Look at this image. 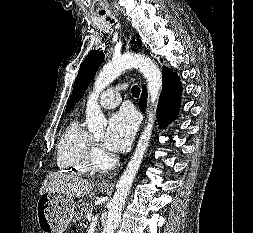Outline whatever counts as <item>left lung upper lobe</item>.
Returning <instances> with one entry per match:
<instances>
[{
    "label": "left lung upper lobe",
    "mask_w": 253,
    "mask_h": 233,
    "mask_svg": "<svg viewBox=\"0 0 253 233\" xmlns=\"http://www.w3.org/2000/svg\"><path fill=\"white\" fill-rule=\"evenodd\" d=\"M137 38L139 35L136 34ZM132 44L134 41L131 42ZM137 45L142 46L141 40H137ZM104 59V53L96 50L90 51L82 62L79 74L74 82L73 92L69 102L67 103L66 113L73 108V106L81 99L84 92L86 91L91 79L97 72V69L101 65Z\"/></svg>",
    "instance_id": "1"
}]
</instances>
